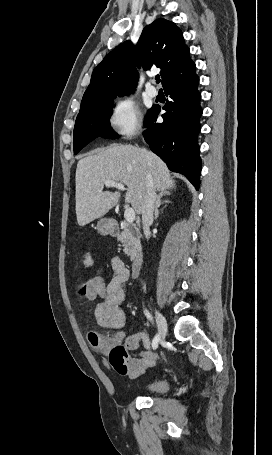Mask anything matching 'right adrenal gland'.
Wrapping results in <instances>:
<instances>
[{
    "label": "right adrenal gland",
    "instance_id": "2a0ac1e0",
    "mask_svg": "<svg viewBox=\"0 0 272 455\" xmlns=\"http://www.w3.org/2000/svg\"><path fill=\"white\" fill-rule=\"evenodd\" d=\"M170 195V192H160L158 197H157V201H156V206H155V210H154V214H155V219L158 218V215H159V207L161 206V204H164V203H171V201L169 200H164L162 201V197L163 196H169Z\"/></svg>",
    "mask_w": 272,
    "mask_h": 455
}]
</instances>
